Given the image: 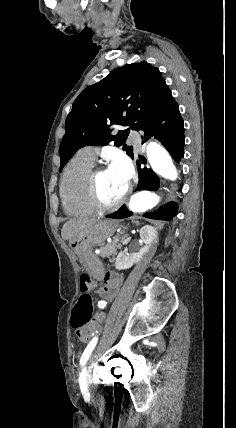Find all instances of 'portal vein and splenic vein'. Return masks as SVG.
<instances>
[{"label":"portal vein and splenic vein","mask_w":236,"mask_h":428,"mask_svg":"<svg viewBox=\"0 0 236 428\" xmlns=\"http://www.w3.org/2000/svg\"><path fill=\"white\" fill-rule=\"evenodd\" d=\"M107 242H111V240H107Z\"/></svg>","instance_id":"1"}]
</instances>
